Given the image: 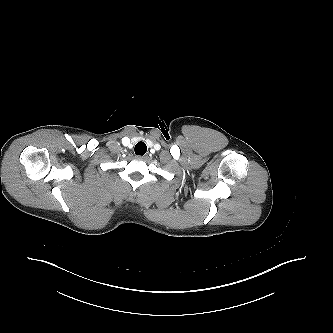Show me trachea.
<instances>
[{"label": "trachea", "mask_w": 333, "mask_h": 333, "mask_svg": "<svg viewBox=\"0 0 333 333\" xmlns=\"http://www.w3.org/2000/svg\"><path fill=\"white\" fill-rule=\"evenodd\" d=\"M147 151V146L144 142L140 141L135 145V154L144 155Z\"/></svg>", "instance_id": "3493384b"}]
</instances>
